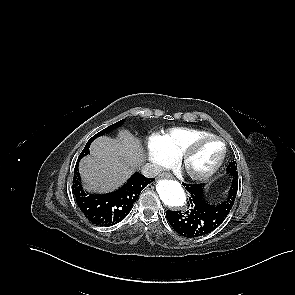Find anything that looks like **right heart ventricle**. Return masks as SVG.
Here are the masks:
<instances>
[{
	"label": "right heart ventricle",
	"instance_id": "obj_1",
	"mask_svg": "<svg viewBox=\"0 0 295 295\" xmlns=\"http://www.w3.org/2000/svg\"><path fill=\"white\" fill-rule=\"evenodd\" d=\"M209 134V132L200 129L177 127L159 134L158 137L163 148L171 156L177 158L193 140Z\"/></svg>",
	"mask_w": 295,
	"mask_h": 295
}]
</instances>
